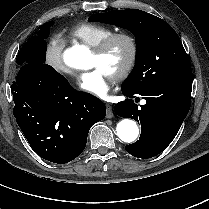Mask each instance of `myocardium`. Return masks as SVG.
<instances>
[{
  "label": "myocardium",
  "instance_id": "myocardium-1",
  "mask_svg": "<svg viewBox=\"0 0 209 209\" xmlns=\"http://www.w3.org/2000/svg\"><path fill=\"white\" fill-rule=\"evenodd\" d=\"M118 41H125L129 46V56L126 62L113 77L117 81H122L130 74L138 58L139 45L134 35L128 32L113 33L94 47L93 53L99 58H104Z\"/></svg>",
  "mask_w": 209,
  "mask_h": 209
}]
</instances>
